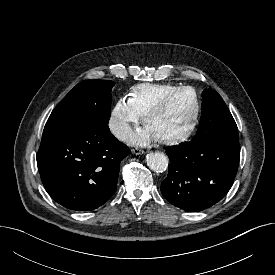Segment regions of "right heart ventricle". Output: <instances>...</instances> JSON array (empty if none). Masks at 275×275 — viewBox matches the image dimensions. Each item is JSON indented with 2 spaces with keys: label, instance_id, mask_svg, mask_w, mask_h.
<instances>
[{
  "label": "right heart ventricle",
  "instance_id": "e07e8e85",
  "mask_svg": "<svg viewBox=\"0 0 275 275\" xmlns=\"http://www.w3.org/2000/svg\"><path fill=\"white\" fill-rule=\"evenodd\" d=\"M179 87L170 83H142L129 93V102L140 116L147 112L169 91Z\"/></svg>",
  "mask_w": 275,
  "mask_h": 275
}]
</instances>
